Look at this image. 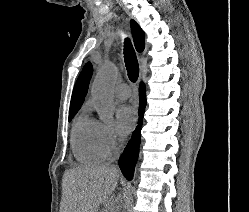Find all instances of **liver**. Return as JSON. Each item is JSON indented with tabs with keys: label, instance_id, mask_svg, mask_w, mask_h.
I'll list each match as a JSON object with an SVG mask.
<instances>
[{
	"label": "liver",
	"instance_id": "6515ba94",
	"mask_svg": "<svg viewBox=\"0 0 249 212\" xmlns=\"http://www.w3.org/2000/svg\"><path fill=\"white\" fill-rule=\"evenodd\" d=\"M120 178L116 166H78L64 174L67 212H98L115 192Z\"/></svg>",
	"mask_w": 249,
	"mask_h": 212
}]
</instances>
